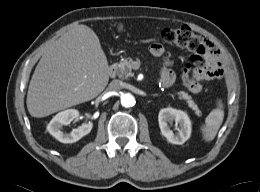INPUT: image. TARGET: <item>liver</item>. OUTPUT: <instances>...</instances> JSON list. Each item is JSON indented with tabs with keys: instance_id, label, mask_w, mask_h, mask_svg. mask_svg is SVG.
<instances>
[{
	"instance_id": "obj_1",
	"label": "liver",
	"mask_w": 260,
	"mask_h": 192,
	"mask_svg": "<svg viewBox=\"0 0 260 192\" xmlns=\"http://www.w3.org/2000/svg\"><path fill=\"white\" fill-rule=\"evenodd\" d=\"M108 61L92 29L78 26L46 50L32 75L27 109L33 117L89 101L107 86Z\"/></svg>"
}]
</instances>
